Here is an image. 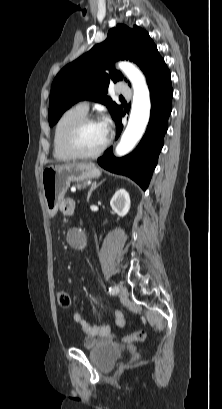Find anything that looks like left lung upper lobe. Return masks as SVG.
<instances>
[{"mask_svg":"<svg viewBox=\"0 0 222 409\" xmlns=\"http://www.w3.org/2000/svg\"><path fill=\"white\" fill-rule=\"evenodd\" d=\"M120 59L136 63L144 72L147 83L167 69L145 30L118 24L108 32L104 42L95 45L57 74L49 99V125H54L74 103L85 99L105 104L115 120L123 108L106 93L110 80L117 82L123 79L113 67V63Z\"/></svg>","mask_w":222,"mask_h":409,"instance_id":"left-lung-upper-lobe-1","label":"left lung upper lobe"}]
</instances>
